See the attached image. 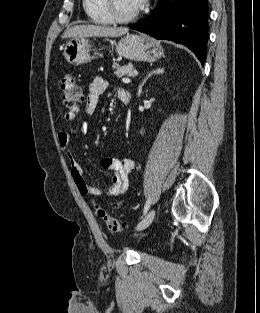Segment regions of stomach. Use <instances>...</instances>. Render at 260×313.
Listing matches in <instances>:
<instances>
[{
  "mask_svg": "<svg viewBox=\"0 0 260 313\" xmlns=\"http://www.w3.org/2000/svg\"><path fill=\"white\" fill-rule=\"evenodd\" d=\"M119 56L134 61L154 62L163 56V49L154 39L137 34H127L114 43ZM91 44L86 38H72L64 46L63 55L68 63L80 65L91 60Z\"/></svg>",
  "mask_w": 260,
  "mask_h": 313,
  "instance_id": "obj_1",
  "label": "stomach"
}]
</instances>
